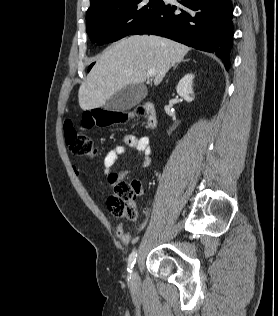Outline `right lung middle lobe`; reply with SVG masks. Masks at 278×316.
<instances>
[{
	"instance_id": "dd1d6c3e",
	"label": "right lung middle lobe",
	"mask_w": 278,
	"mask_h": 316,
	"mask_svg": "<svg viewBox=\"0 0 278 316\" xmlns=\"http://www.w3.org/2000/svg\"><path fill=\"white\" fill-rule=\"evenodd\" d=\"M162 0H109L87 11L86 32L99 45L131 35L161 6Z\"/></svg>"
}]
</instances>
